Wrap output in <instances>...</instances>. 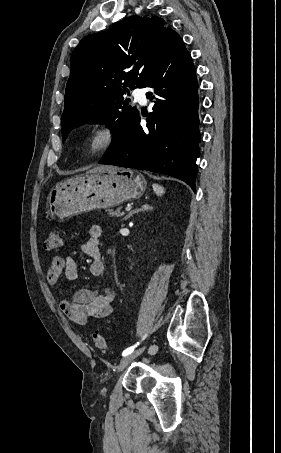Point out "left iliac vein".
Returning a JSON list of instances; mask_svg holds the SVG:
<instances>
[{
	"mask_svg": "<svg viewBox=\"0 0 281 453\" xmlns=\"http://www.w3.org/2000/svg\"><path fill=\"white\" fill-rule=\"evenodd\" d=\"M147 347L144 345L143 347H141L139 350L140 352L138 351H135L133 352V354H129L127 355L126 357H122L121 359V363H119L117 365V368L119 370H122L124 367H126V365L128 364V362H132L134 359H136L138 357V353H140L141 355L144 353L143 350H145Z\"/></svg>",
	"mask_w": 281,
	"mask_h": 453,
	"instance_id": "1",
	"label": "left iliac vein"
}]
</instances>
